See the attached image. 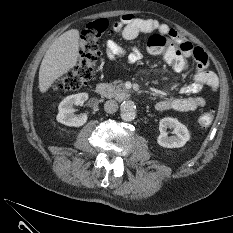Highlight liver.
Instances as JSON below:
<instances>
[{"instance_id":"obj_1","label":"liver","mask_w":233,"mask_h":233,"mask_svg":"<svg viewBox=\"0 0 233 233\" xmlns=\"http://www.w3.org/2000/svg\"><path fill=\"white\" fill-rule=\"evenodd\" d=\"M79 57V31L71 29L59 36L46 51L39 69V89L45 93L56 79L76 66Z\"/></svg>"}]
</instances>
